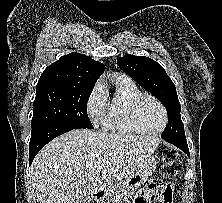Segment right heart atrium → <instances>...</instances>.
<instances>
[{
    "label": "right heart atrium",
    "mask_w": 222,
    "mask_h": 203,
    "mask_svg": "<svg viewBox=\"0 0 222 203\" xmlns=\"http://www.w3.org/2000/svg\"><path fill=\"white\" fill-rule=\"evenodd\" d=\"M107 95L102 86L96 85L87 101V112L94 125H98L106 113Z\"/></svg>",
    "instance_id": "obj_1"
}]
</instances>
